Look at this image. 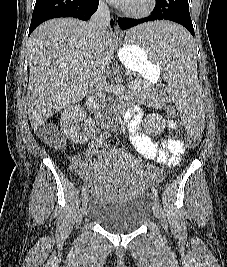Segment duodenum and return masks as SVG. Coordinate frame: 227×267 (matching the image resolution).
<instances>
[{
    "mask_svg": "<svg viewBox=\"0 0 227 267\" xmlns=\"http://www.w3.org/2000/svg\"><path fill=\"white\" fill-rule=\"evenodd\" d=\"M86 103L94 114H96L97 116L101 115V110L96 102L94 95L92 94L88 95Z\"/></svg>",
    "mask_w": 227,
    "mask_h": 267,
    "instance_id": "410a0bca",
    "label": "duodenum"
}]
</instances>
